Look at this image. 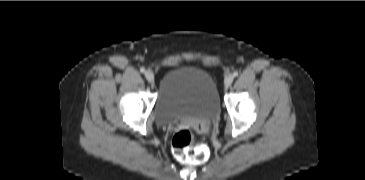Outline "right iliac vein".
<instances>
[{
    "label": "right iliac vein",
    "mask_w": 365,
    "mask_h": 180,
    "mask_svg": "<svg viewBox=\"0 0 365 180\" xmlns=\"http://www.w3.org/2000/svg\"><path fill=\"white\" fill-rule=\"evenodd\" d=\"M145 77L151 83L154 81V74L149 70L145 72Z\"/></svg>",
    "instance_id": "right-iliac-vein-1"
}]
</instances>
